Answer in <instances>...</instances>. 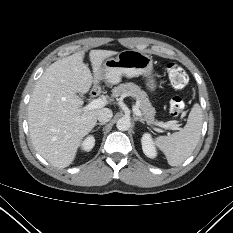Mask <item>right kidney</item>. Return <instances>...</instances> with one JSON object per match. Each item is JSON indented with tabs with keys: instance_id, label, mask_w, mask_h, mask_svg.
<instances>
[{
	"instance_id": "obj_1",
	"label": "right kidney",
	"mask_w": 233,
	"mask_h": 233,
	"mask_svg": "<svg viewBox=\"0 0 233 233\" xmlns=\"http://www.w3.org/2000/svg\"><path fill=\"white\" fill-rule=\"evenodd\" d=\"M95 145V138L90 135L81 144L82 150L89 152Z\"/></svg>"
}]
</instances>
